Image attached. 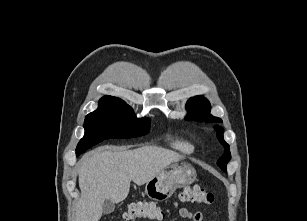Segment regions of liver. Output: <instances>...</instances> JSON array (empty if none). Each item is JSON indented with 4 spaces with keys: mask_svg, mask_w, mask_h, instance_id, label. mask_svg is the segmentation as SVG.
<instances>
[{
    "mask_svg": "<svg viewBox=\"0 0 307 221\" xmlns=\"http://www.w3.org/2000/svg\"><path fill=\"white\" fill-rule=\"evenodd\" d=\"M184 157L174 151L143 146L133 150L98 148L83 156L79 164L81 197L76 221H99L105 200H125L130 182L147 183L164 168Z\"/></svg>",
    "mask_w": 307,
    "mask_h": 221,
    "instance_id": "obj_1",
    "label": "liver"
}]
</instances>
